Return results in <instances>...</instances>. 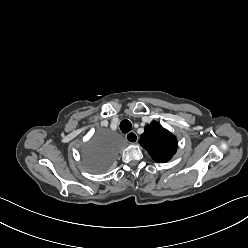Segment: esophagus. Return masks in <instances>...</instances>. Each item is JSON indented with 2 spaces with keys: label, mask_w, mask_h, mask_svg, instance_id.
Here are the masks:
<instances>
[{
  "label": "esophagus",
  "mask_w": 248,
  "mask_h": 248,
  "mask_svg": "<svg viewBox=\"0 0 248 248\" xmlns=\"http://www.w3.org/2000/svg\"><path fill=\"white\" fill-rule=\"evenodd\" d=\"M126 140L130 143V144H135L138 140V136L134 131H130L125 135Z\"/></svg>",
  "instance_id": "1"
}]
</instances>
